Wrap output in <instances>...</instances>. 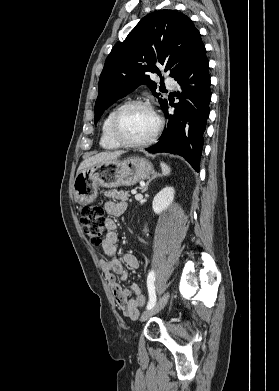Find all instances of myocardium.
<instances>
[{
    "instance_id": "obj_1",
    "label": "myocardium",
    "mask_w": 279,
    "mask_h": 391,
    "mask_svg": "<svg viewBox=\"0 0 279 391\" xmlns=\"http://www.w3.org/2000/svg\"><path fill=\"white\" fill-rule=\"evenodd\" d=\"M132 107H145L153 113V115L156 119V127H155L153 133L150 135L149 138H147L143 141L127 140L126 138H124L122 136V134L120 132V127H119L120 119H121L122 115L124 114V112ZM162 127H163L162 118L160 117V115L158 114V112L156 111L154 106L149 101H147V100H131V101H127L124 104H122L121 106H119L117 108V110L115 111V113L112 117V120H111L110 132H111L112 138L116 142L121 144L122 146L130 147V148H141V147H145V146L152 144L157 139L158 135L160 134Z\"/></svg>"
}]
</instances>
